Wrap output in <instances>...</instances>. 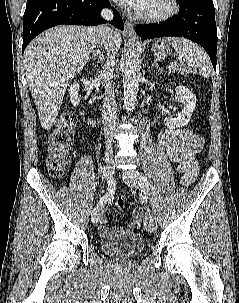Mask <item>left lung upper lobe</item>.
<instances>
[{
  "instance_id": "obj_1",
  "label": "left lung upper lobe",
  "mask_w": 239,
  "mask_h": 303,
  "mask_svg": "<svg viewBox=\"0 0 239 303\" xmlns=\"http://www.w3.org/2000/svg\"><path fill=\"white\" fill-rule=\"evenodd\" d=\"M184 1H187V0H179V3L184 2Z\"/></svg>"
}]
</instances>
